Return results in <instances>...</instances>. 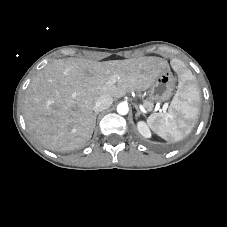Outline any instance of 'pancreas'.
Here are the masks:
<instances>
[{"mask_svg": "<svg viewBox=\"0 0 227 227\" xmlns=\"http://www.w3.org/2000/svg\"><path fill=\"white\" fill-rule=\"evenodd\" d=\"M143 106L145 108H152L153 107V103L151 101H149V100H144L143 101Z\"/></svg>", "mask_w": 227, "mask_h": 227, "instance_id": "cf45deb5", "label": "pancreas"}]
</instances>
